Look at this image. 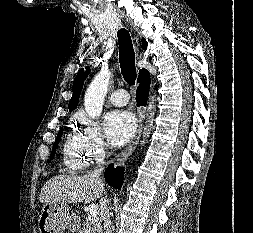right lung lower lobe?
Wrapping results in <instances>:
<instances>
[{"label": "right lung lower lobe", "mask_w": 253, "mask_h": 233, "mask_svg": "<svg viewBox=\"0 0 253 233\" xmlns=\"http://www.w3.org/2000/svg\"><path fill=\"white\" fill-rule=\"evenodd\" d=\"M138 82L140 83V85L138 86L136 91V101L137 105L140 106L145 105L148 98L150 86V74L147 70L143 71L142 74L139 75ZM104 176L106 182L110 186L116 189L121 188L124 176L123 168L121 167L113 168V164H111L105 170Z\"/></svg>", "instance_id": "right-lung-lower-lobe-1"}]
</instances>
